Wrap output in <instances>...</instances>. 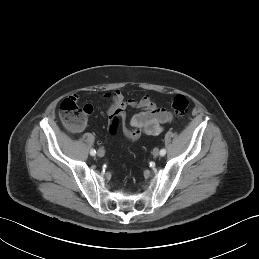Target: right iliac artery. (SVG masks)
Segmentation results:
<instances>
[{
  "label": "right iliac artery",
  "mask_w": 259,
  "mask_h": 259,
  "mask_svg": "<svg viewBox=\"0 0 259 259\" xmlns=\"http://www.w3.org/2000/svg\"><path fill=\"white\" fill-rule=\"evenodd\" d=\"M90 154H91L92 156H94V155L96 154L95 149H91V150H90Z\"/></svg>",
  "instance_id": "82829eb1"
}]
</instances>
